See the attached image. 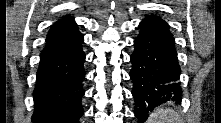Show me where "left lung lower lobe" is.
I'll return each mask as SVG.
<instances>
[{
  "mask_svg": "<svg viewBox=\"0 0 221 123\" xmlns=\"http://www.w3.org/2000/svg\"><path fill=\"white\" fill-rule=\"evenodd\" d=\"M139 27V35L134 40L135 50L130 57V77L134 113L139 121H144L156 106L167 101H180L182 89L178 80L181 70L168 24L149 15Z\"/></svg>",
  "mask_w": 221,
  "mask_h": 123,
  "instance_id": "1",
  "label": "left lung lower lobe"
}]
</instances>
